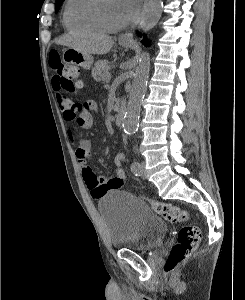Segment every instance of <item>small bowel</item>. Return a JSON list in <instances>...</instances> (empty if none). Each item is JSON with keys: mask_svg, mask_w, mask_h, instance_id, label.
Listing matches in <instances>:
<instances>
[{"mask_svg": "<svg viewBox=\"0 0 245 300\" xmlns=\"http://www.w3.org/2000/svg\"><path fill=\"white\" fill-rule=\"evenodd\" d=\"M52 87L55 91L56 100L65 122L71 124L67 129V135L75 147L76 159L81 167L82 177L90 190L91 196L95 199H99L110 191L122 188L125 180V172L121 168L125 161V154L123 152H118L115 155V169L110 174L99 177L88 165L92 157V146L89 140L79 134V130L89 129L93 125V115L98 113L97 103L89 100L84 103L80 102L81 105L77 106V102L73 103L66 96L65 91L67 90L60 86L56 77L52 79ZM78 89L79 87L76 90Z\"/></svg>", "mask_w": 245, "mask_h": 300, "instance_id": "obj_1", "label": "small bowel"}]
</instances>
